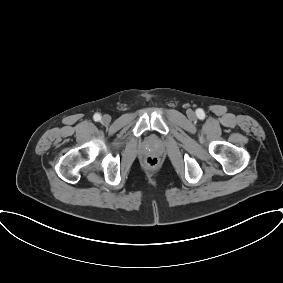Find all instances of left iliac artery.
I'll list each match as a JSON object with an SVG mask.
<instances>
[{
  "mask_svg": "<svg viewBox=\"0 0 283 283\" xmlns=\"http://www.w3.org/2000/svg\"><path fill=\"white\" fill-rule=\"evenodd\" d=\"M197 115H198L199 118H203L204 117L203 110L199 109L198 112H197Z\"/></svg>",
  "mask_w": 283,
  "mask_h": 283,
  "instance_id": "1",
  "label": "left iliac artery"
}]
</instances>
